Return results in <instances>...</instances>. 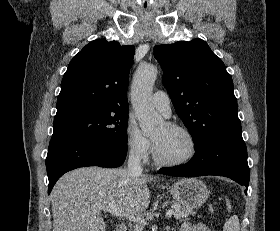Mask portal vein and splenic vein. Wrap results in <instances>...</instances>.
Returning <instances> with one entry per match:
<instances>
[{
  "label": "portal vein and splenic vein",
  "mask_w": 280,
  "mask_h": 231,
  "mask_svg": "<svg viewBox=\"0 0 280 231\" xmlns=\"http://www.w3.org/2000/svg\"><path fill=\"white\" fill-rule=\"evenodd\" d=\"M106 211H110V213H114V215H124V213H121V209H117V207H112V205H107L105 207ZM174 211L173 209H167L166 211V217H171L173 215ZM130 221H136V223H146L145 219L143 217H140V215H129Z\"/></svg>",
  "instance_id": "18ae733b"
}]
</instances>
